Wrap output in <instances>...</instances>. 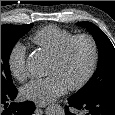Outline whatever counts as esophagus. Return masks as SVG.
<instances>
[{
	"label": "esophagus",
	"mask_w": 115,
	"mask_h": 115,
	"mask_svg": "<svg viewBox=\"0 0 115 115\" xmlns=\"http://www.w3.org/2000/svg\"><path fill=\"white\" fill-rule=\"evenodd\" d=\"M45 106H46L45 103H36V107L43 108Z\"/></svg>",
	"instance_id": "34e87169"
}]
</instances>
